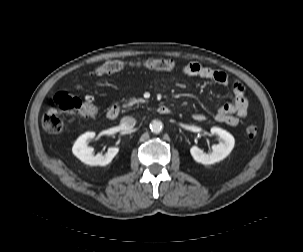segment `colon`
Returning <instances> with one entry per match:
<instances>
[{"instance_id":"5ec220e1","label":"colon","mask_w":303,"mask_h":252,"mask_svg":"<svg viewBox=\"0 0 303 252\" xmlns=\"http://www.w3.org/2000/svg\"><path fill=\"white\" fill-rule=\"evenodd\" d=\"M133 68L173 71L176 68V64L174 61L167 59H146L138 61L110 60L97 66L92 73L98 75L114 74ZM62 112L76 113L82 116H94L97 108L91 97H86L84 100H81L66 91L59 92L49 100L44 115V126L49 132L59 134L63 131L64 124L60 117ZM257 133L258 128L255 125H249L245 129V134L248 138H254Z\"/></svg>"}]
</instances>
